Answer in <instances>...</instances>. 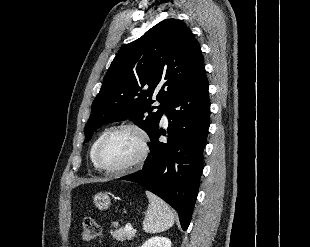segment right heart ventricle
<instances>
[{
    "mask_svg": "<svg viewBox=\"0 0 310 247\" xmlns=\"http://www.w3.org/2000/svg\"><path fill=\"white\" fill-rule=\"evenodd\" d=\"M107 131H108L107 129L104 130V131H102V132L97 136V138L94 140V142H93V144H92V146H91V149H90V159H91V161H92V163H93V165H94L95 167H97L96 164H95V161H94L95 149H96V147H97L99 141L101 140V138L104 136V134H105Z\"/></svg>",
    "mask_w": 310,
    "mask_h": 247,
    "instance_id": "right-heart-ventricle-1",
    "label": "right heart ventricle"
}]
</instances>
